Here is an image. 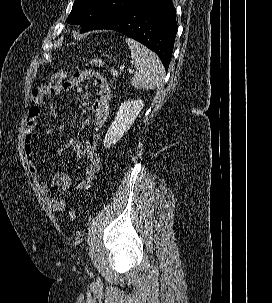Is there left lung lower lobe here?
<instances>
[{"label": "left lung lower lobe", "instance_id": "left-lung-lower-lobe-1", "mask_svg": "<svg viewBox=\"0 0 272 303\" xmlns=\"http://www.w3.org/2000/svg\"><path fill=\"white\" fill-rule=\"evenodd\" d=\"M95 29L118 31L153 50L168 69L177 33L172 0H140Z\"/></svg>", "mask_w": 272, "mask_h": 303}]
</instances>
